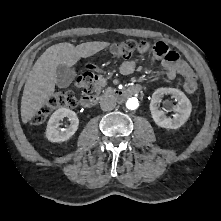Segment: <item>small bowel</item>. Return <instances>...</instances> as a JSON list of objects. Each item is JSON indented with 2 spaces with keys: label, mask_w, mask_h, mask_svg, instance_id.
<instances>
[{
  "label": "small bowel",
  "mask_w": 221,
  "mask_h": 221,
  "mask_svg": "<svg viewBox=\"0 0 221 221\" xmlns=\"http://www.w3.org/2000/svg\"><path fill=\"white\" fill-rule=\"evenodd\" d=\"M150 44L147 41L139 43L138 52L144 54L150 49ZM153 54L161 59V64L166 71L168 80H174L176 76L187 77L193 75L191 67L180 58L178 53L172 51L164 42H157L153 49ZM136 63L133 60H126L120 66V72L123 75H129L134 72Z\"/></svg>",
  "instance_id": "c3829d8e"
}]
</instances>
